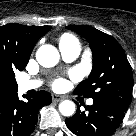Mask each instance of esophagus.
<instances>
[{"mask_svg":"<svg viewBox=\"0 0 136 136\" xmlns=\"http://www.w3.org/2000/svg\"><path fill=\"white\" fill-rule=\"evenodd\" d=\"M64 98L62 97V96H59V95H56V94H53L52 95V100L54 101V102H60V101H62Z\"/></svg>","mask_w":136,"mask_h":136,"instance_id":"1","label":"esophagus"}]
</instances>
